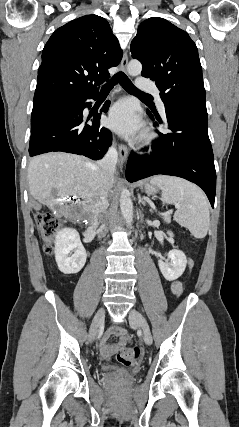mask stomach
Returning a JSON list of instances; mask_svg holds the SVG:
<instances>
[{
  "mask_svg": "<svg viewBox=\"0 0 239 427\" xmlns=\"http://www.w3.org/2000/svg\"><path fill=\"white\" fill-rule=\"evenodd\" d=\"M144 191L148 194V195H153L155 193H157V187L151 183H146L144 185Z\"/></svg>",
  "mask_w": 239,
  "mask_h": 427,
  "instance_id": "obj_1",
  "label": "stomach"
}]
</instances>
